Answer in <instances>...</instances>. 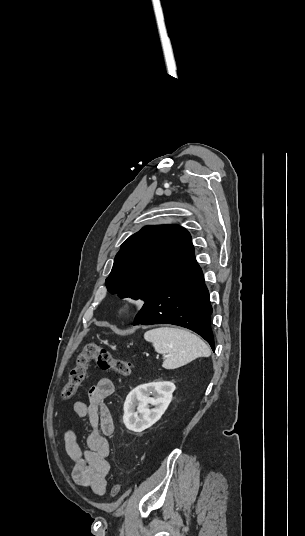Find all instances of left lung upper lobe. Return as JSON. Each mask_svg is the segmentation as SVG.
<instances>
[{
	"mask_svg": "<svg viewBox=\"0 0 305 536\" xmlns=\"http://www.w3.org/2000/svg\"><path fill=\"white\" fill-rule=\"evenodd\" d=\"M190 233L179 225L145 226L117 253L106 286L121 298L147 302L195 261Z\"/></svg>",
	"mask_w": 305,
	"mask_h": 536,
	"instance_id": "1",
	"label": "left lung upper lobe"
}]
</instances>
